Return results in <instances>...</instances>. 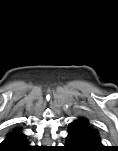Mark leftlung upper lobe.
<instances>
[{
	"label": "left lung upper lobe",
	"instance_id": "1",
	"mask_svg": "<svg viewBox=\"0 0 118 151\" xmlns=\"http://www.w3.org/2000/svg\"><path fill=\"white\" fill-rule=\"evenodd\" d=\"M69 127L84 134L95 146L103 148L98 131L89 123L86 118H78L74 120L72 123H70Z\"/></svg>",
	"mask_w": 118,
	"mask_h": 151
}]
</instances>
